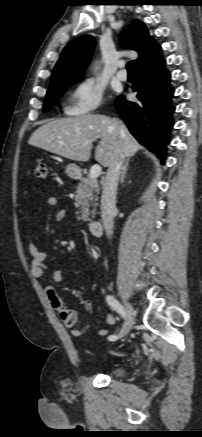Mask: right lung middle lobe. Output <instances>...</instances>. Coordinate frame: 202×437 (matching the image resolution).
Wrapping results in <instances>:
<instances>
[{
  "label": "right lung middle lobe",
  "mask_w": 202,
  "mask_h": 437,
  "mask_svg": "<svg viewBox=\"0 0 202 437\" xmlns=\"http://www.w3.org/2000/svg\"><path fill=\"white\" fill-rule=\"evenodd\" d=\"M83 76L72 78L65 81H60L55 84L50 85L43 106V111L48 112L51 107L57 102V100L63 95L65 90L79 82Z\"/></svg>",
  "instance_id": "dd1d6c3e"
}]
</instances>
